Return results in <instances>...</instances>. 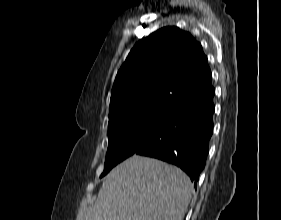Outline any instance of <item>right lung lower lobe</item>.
I'll use <instances>...</instances> for the list:
<instances>
[{"instance_id":"obj_1","label":"right lung lower lobe","mask_w":281,"mask_h":220,"mask_svg":"<svg viewBox=\"0 0 281 220\" xmlns=\"http://www.w3.org/2000/svg\"><path fill=\"white\" fill-rule=\"evenodd\" d=\"M214 87L182 100L163 125L134 154L180 167L196 188L213 132Z\"/></svg>"}]
</instances>
